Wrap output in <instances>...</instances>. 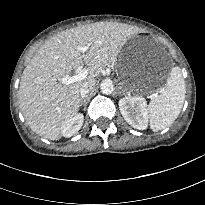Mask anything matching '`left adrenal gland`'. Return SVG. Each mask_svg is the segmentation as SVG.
I'll return each instance as SVG.
<instances>
[{
    "label": "left adrenal gland",
    "instance_id": "1",
    "mask_svg": "<svg viewBox=\"0 0 205 205\" xmlns=\"http://www.w3.org/2000/svg\"><path fill=\"white\" fill-rule=\"evenodd\" d=\"M125 94H126V93H125L123 87L120 86V87H119V95L121 96V95H125Z\"/></svg>",
    "mask_w": 205,
    "mask_h": 205
}]
</instances>
